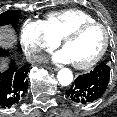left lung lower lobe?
Returning a JSON list of instances; mask_svg holds the SVG:
<instances>
[{"label": "left lung lower lobe", "instance_id": "obj_1", "mask_svg": "<svg viewBox=\"0 0 117 117\" xmlns=\"http://www.w3.org/2000/svg\"><path fill=\"white\" fill-rule=\"evenodd\" d=\"M111 68L108 63L99 64L89 73L78 76L66 91L69 99L87 104L102 97L110 80Z\"/></svg>", "mask_w": 117, "mask_h": 117}]
</instances>
